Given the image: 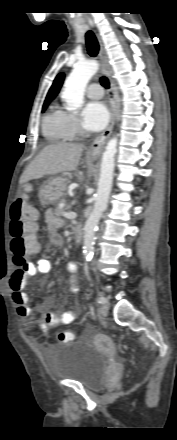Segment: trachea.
Wrapping results in <instances>:
<instances>
[{"mask_svg": "<svg viewBox=\"0 0 177 440\" xmlns=\"http://www.w3.org/2000/svg\"><path fill=\"white\" fill-rule=\"evenodd\" d=\"M87 51L90 56L95 57L99 51V44L96 36L92 31H88L85 35ZM101 85L105 88H109V81L107 77L103 76L100 78Z\"/></svg>", "mask_w": 177, "mask_h": 440, "instance_id": "trachea-1", "label": "trachea"}]
</instances>
